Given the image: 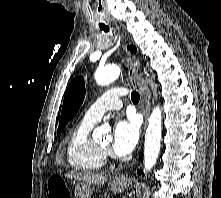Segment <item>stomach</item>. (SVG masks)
Instances as JSON below:
<instances>
[{
	"mask_svg": "<svg viewBox=\"0 0 221 198\" xmlns=\"http://www.w3.org/2000/svg\"><path fill=\"white\" fill-rule=\"evenodd\" d=\"M127 181L120 183H111V190L115 193H121L127 187ZM92 188L90 184L77 182L74 186L75 198H91Z\"/></svg>",
	"mask_w": 221,
	"mask_h": 198,
	"instance_id": "obj_1",
	"label": "stomach"
}]
</instances>
